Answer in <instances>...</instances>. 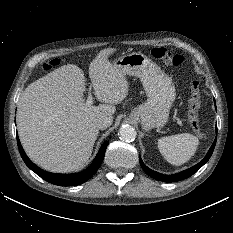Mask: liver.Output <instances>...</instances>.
<instances>
[{"label":"liver","instance_id":"obj_1","mask_svg":"<svg viewBox=\"0 0 233 233\" xmlns=\"http://www.w3.org/2000/svg\"><path fill=\"white\" fill-rule=\"evenodd\" d=\"M116 49L101 50L89 65L96 98L87 106L86 79L76 65L61 66L31 83L18 102L19 138L28 157L44 170L77 171L89 160L99 134L96 120L115 113V104L128 95V81L108 57Z\"/></svg>","mask_w":233,"mask_h":233}]
</instances>
